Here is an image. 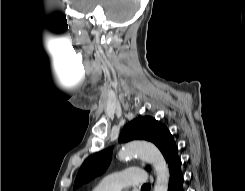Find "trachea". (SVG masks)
Listing matches in <instances>:
<instances>
[{
	"mask_svg": "<svg viewBox=\"0 0 245 191\" xmlns=\"http://www.w3.org/2000/svg\"><path fill=\"white\" fill-rule=\"evenodd\" d=\"M150 188V185L149 184H145L141 187L142 190H146V189H149Z\"/></svg>",
	"mask_w": 245,
	"mask_h": 191,
	"instance_id": "3493384b",
	"label": "trachea"
}]
</instances>
